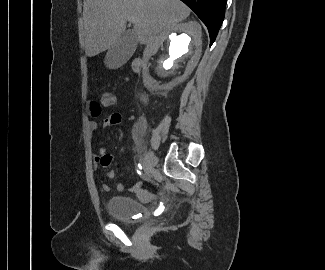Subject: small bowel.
<instances>
[{"label":"small bowel","mask_w":325,"mask_h":270,"mask_svg":"<svg viewBox=\"0 0 325 270\" xmlns=\"http://www.w3.org/2000/svg\"><path fill=\"white\" fill-rule=\"evenodd\" d=\"M102 96H114V95L110 92H104L102 94ZM113 105H114V103H100L99 101L92 100L88 104V112L91 117L97 118L102 114L103 109L111 107ZM121 120H122V115L118 112H115V113H112L111 115L107 116L103 120V126L106 128L115 127L121 123ZM89 129H90L91 134H94L98 129V123L94 120L90 121ZM114 160H115V156L110 154L107 151L106 147H104V146H101L99 148L98 153L94 156L95 165L100 166L102 168H108ZM113 177H114L113 172H108L101 176L100 181H101L102 189L104 191H110V186L107 183V180L111 179ZM116 189L118 192H124L125 186L122 184H119ZM130 191L135 193L142 201L147 202L151 199L150 193L148 191L142 189V184L140 182L134 183L131 186Z\"/></svg>","instance_id":"small-bowel-1"}]
</instances>
